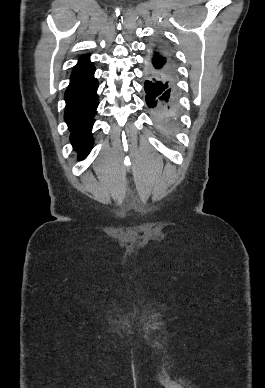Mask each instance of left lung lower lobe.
Listing matches in <instances>:
<instances>
[{
	"label": "left lung lower lobe",
	"mask_w": 265,
	"mask_h": 388,
	"mask_svg": "<svg viewBox=\"0 0 265 388\" xmlns=\"http://www.w3.org/2000/svg\"><path fill=\"white\" fill-rule=\"evenodd\" d=\"M144 90L158 130L168 134L178 119L176 77L146 65Z\"/></svg>",
	"instance_id": "left-lung-lower-lobe-1"
}]
</instances>
